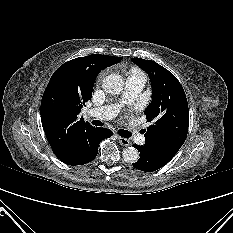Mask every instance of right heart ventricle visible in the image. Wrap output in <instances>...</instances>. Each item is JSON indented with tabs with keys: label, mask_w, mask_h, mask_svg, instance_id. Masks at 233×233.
Instances as JSON below:
<instances>
[{
	"label": "right heart ventricle",
	"mask_w": 233,
	"mask_h": 233,
	"mask_svg": "<svg viewBox=\"0 0 233 233\" xmlns=\"http://www.w3.org/2000/svg\"><path fill=\"white\" fill-rule=\"evenodd\" d=\"M131 73H133V74H142L139 70H137V69H133V70H131Z\"/></svg>",
	"instance_id": "right-heart-ventricle-1"
}]
</instances>
